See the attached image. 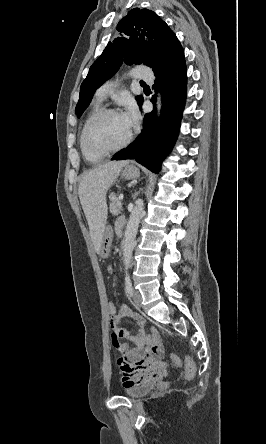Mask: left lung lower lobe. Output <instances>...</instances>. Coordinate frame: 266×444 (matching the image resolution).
Wrapping results in <instances>:
<instances>
[{
	"instance_id": "0a47b994",
	"label": "left lung lower lobe",
	"mask_w": 266,
	"mask_h": 444,
	"mask_svg": "<svg viewBox=\"0 0 266 444\" xmlns=\"http://www.w3.org/2000/svg\"><path fill=\"white\" fill-rule=\"evenodd\" d=\"M155 75L157 80L153 87L159 88L162 94L160 123L156 124V111L145 114L143 131L136 141L112 160L135 159L158 173L162 160L175 143L184 109L187 84L184 52Z\"/></svg>"
}]
</instances>
